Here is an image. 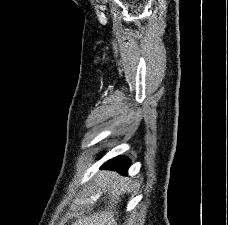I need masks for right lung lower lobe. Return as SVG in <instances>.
I'll return each mask as SVG.
<instances>
[{"instance_id":"obj_1","label":"right lung lower lobe","mask_w":228,"mask_h":225,"mask_svg":"<svg viewBox=\"0 0 228 225\" xmlns=\"http://www.w3.org/2000/svg\"><path fill=\"white\" fill-rule=\"evenodd\" d=\"M130 165V161L125 156H118L111 160H109L107 163H105L101 168L103 169H112L120 172L121 174L126 175V171Z\"/></svg>"}]
</instances>
